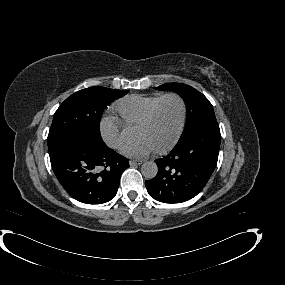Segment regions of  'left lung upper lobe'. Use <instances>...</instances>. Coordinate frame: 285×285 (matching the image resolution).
Returning a JSON list of instances; mask_svg holds the SVG:
<instances>
[{
  "instance_id": "5c2ea615",
  "label": "left lung upper lobe",
  "mask_w": 285,
  "mask_h": 285,
  "mask_svg": "<svg viewBox=\"0 0 285 285\" xmlns=\"http://www.w3.org/2000/svg\"><path fill=\"white\" fill-rule=\"evenodd\" d=\"M156 89L174 91L183 98L186 104V124L180 139L202 125L217 122L212 104L193 87L181 83H168Z\"/></svg>"
}]
</instances>
